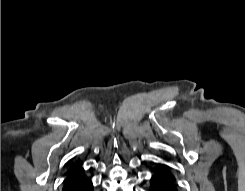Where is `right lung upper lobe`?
Masks as SVG:
<instances>
[{"mask_svg":"<svg viewBox=\"0 0 245 191\" xmlns=\"http://www.w3.org/2000/svg\"><path fill=\"white\" fill-rule=\"evenodd\" d=\"M78 168H80L79 165H74V166H72V167L69 169L68 174L71 173V172H73V171H75V170H77Z\"/></svg>","mask_w":245,"mask_h":191,"instance_id":"obj_1","label":"right lung upper lobe"}]
</instances>
